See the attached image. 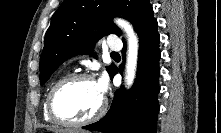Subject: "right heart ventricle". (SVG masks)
Listing matches in <instances>:
<instances>
[{
  "label": "right heart ventricle",
  "mask_w": 221,
  "mask_h": 133,
  "mask_svg": "<svg viewBox=\"0 0 221 133\" xmlns=\"http://www.w3.org/2000/svg\"><path fill=\"white\" fill-rule=\"evenodd\" d=\"M62 79V77H58L56 80H54L52 82V84L50 85V87L48 88V91L46 93V96H45V99H44V102H43V117H44V120L46 122H49V123H54L53 120L49 117L48 115V112H47V107H46V100H47V96L51 90V88L60 80Z\"/></svg>",
  "instance_id": "1"
}]
</instances>
